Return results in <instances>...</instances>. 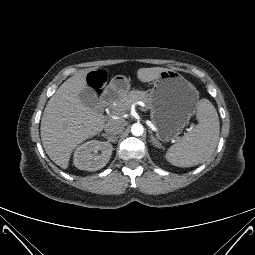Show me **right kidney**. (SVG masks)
I'll use <instances>...</instances> for the list:
<instances>
[{
	"label": "right kidney",
	"mask_w": 255,
	"mask_h": 255,
	"mask_svg": "<svg viewBox=\"0 0 255 255\" xmlns=\"http://www.w3.org/2000/svg\"><path fill=\"white\" fill-rule=\"evenodd\" d=\"M112 150L113 148L109 143L97 140L88 141L75 150L74 165L80 170H99L108 163Z\"/></svg>",
	"instance_id": "obj_1"
}]
</instances>
